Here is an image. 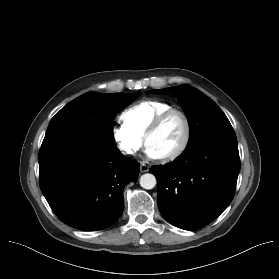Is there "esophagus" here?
<instances>
[{
  "label": "esophagus",
  "instance_id": "34e87169",
  "mask_svg": "<svg viewBox=\"0 0 279 279\" xmlns=\"http://www.w3.org/2000/svg\"><path fill=\"white\" fill-rule=\"evenodd\" d=\"M140 171L142 173L148 172L149 171V166L146 163L141 162V164H140Z\"/></svg>",
  "mask_w": 279,
  "mask_h": 279
}]
</instances>
